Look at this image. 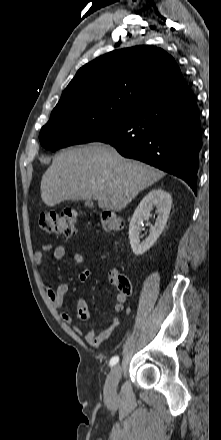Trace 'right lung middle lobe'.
I'll use <instances>...</instances> for the list:
<instances>
[{
  "instance_id": "1",
  "label": "right lung middle lobe",
  "mask_w": 221,
  "mask_h": 440,
  "mask_svg": "<svg viewBox=\"0 0 221 440\" xmlns=\"http://www.w3.org/2000/svg\"><path fill=\"white\" fill-rule=\"evenodd\" d=\"M136 108L113 102L73 103L52 111L42 127L41 145L55 151L75 144L94 142L117 128Z\"/></svg>"
}]
</instances>
